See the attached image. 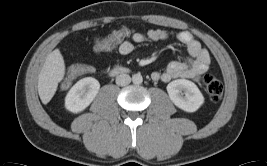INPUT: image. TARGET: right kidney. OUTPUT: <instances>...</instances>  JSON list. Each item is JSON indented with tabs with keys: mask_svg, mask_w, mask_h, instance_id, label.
Here are the masks:
<instances>
[{
	"mask_svg": "<svg viewBox=\"0 0 267 166\" xmlns=\"http://www.w3.org/2000/svg\"><path fill=\"white\" fill-rule=\"evenodd\" d=\"M99 88L100 83L95 78L85 77L79 80L67 93L66 109L73 113L83 111L94 100Z\"/></svg>",
	"mask_w": 267,
	"mask_h": 166,
	"instance_id": "ca27d5eb",
	"label": "right kidney"
}]
</instances>
